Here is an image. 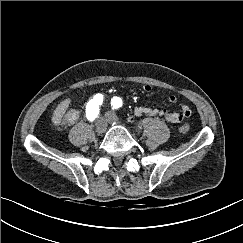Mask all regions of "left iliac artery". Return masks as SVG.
Returning a JSON list of instances; mask_svg holds the SVG:
<instances>
[{
	"mask_svg": "<svg viewBox=\"0 0 243 243\" xmlns=\"http://www.w3.org/2000/svg\"><path fill=\"white\" fill-rule=\"evenodd\" d=\"M111 105H112L113 109H118L122 106V100L119 97H114L111 100Z\"/></svg>",
	"mask_w": 243,
	"mask_h": 243,
	"instance_id": "obj_1",
	"label": "left iliac artery"
}]
</instances>
